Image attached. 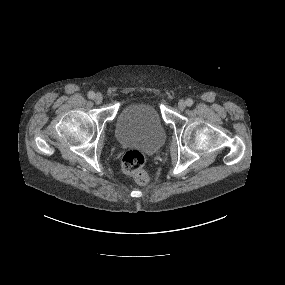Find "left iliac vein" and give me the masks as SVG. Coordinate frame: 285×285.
Wrapping results in <instances>:
<instances>
[{
	"instance_id": "1",
	"label": "left iliac vein",
	"mask_w": 285,
	"mask_h": 285,
	"mask_svg": "<svg viewBox=\"0 0 285 285\" xmlns=\"http://www.w3.org/2000/svg\"><path fill=\"white\" fill-rule=\"evenodd\" d=\"M186 108V102L184 100H180L178 102V109L184 110Z\"/></svg>"
}]
</instances>
